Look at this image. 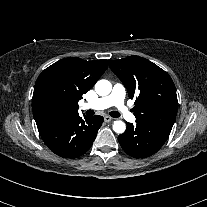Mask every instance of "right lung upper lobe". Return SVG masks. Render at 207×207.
Listing matches in <instances>:
<instances>
[{
  "instance_id": "obj_1",
  "label": "right lung upper lobe",
  "mask_w": 207,
  "mask_h": 207,
  "mask_svg": "<svg viewBox=\"0 0 207 207\" xmlns=\"http://www.w3.org/2000/svg\"><path fill=\"white\" fill-rule=\"evenodd\" d=\"M107 68V60L62 59L46 68L37 78L32 110L38 130L57 120L77 115L78 101Z\"/></svg>"
}]
</instances>
